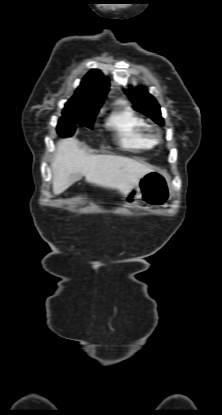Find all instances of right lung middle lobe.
<instances>
[{
  "mask_svg": "<svg viewBox=\"0 0 222 415\" xmlns=\"http://www.w3.org/2000/svg\"><path fill=\"white\" fill-rule=\"evenodd\" d=\"M98 109L73 107L63 110V116L59 119L57 132L62 137L72 136L76 129V124L93 128L95 116Z\"/></svg>",
  "mask_w": 222,
  "mask_h": 415,
  "instance_id": "right-lung-middle-lobe-1",
  "label": "right lung middle lobe"
}]
</instances>
